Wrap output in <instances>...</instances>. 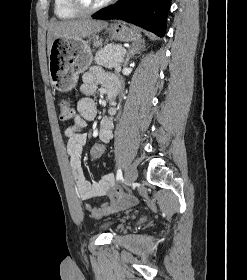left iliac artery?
Returning <instances> with one entry per match:
<instances>
[{"label": "left iliac artery", "instance_id": "left-iliac-artery-1", "mask_svg": "<svg viewBox=\"0 0 247 280\" xmlns=\"http://www.w3.org/2000/svg\"><path fill=\"white\" fill-rule=\"evenodd\" d=\"M116 179H117V181L120 180V179H122V171H121V169H118V170H117Z\"/></svg>", "mask_w": 247, "mask_h": 280}]
</instances>
